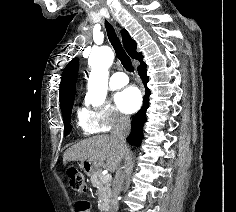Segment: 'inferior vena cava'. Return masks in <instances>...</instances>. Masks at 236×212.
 I'll return each instance as SVG.
<instances>
[{"label": "inferior vena cava", "instance_id": "602c4592", "mask_svg": "<svg viewBox=\"0 0 236 212\" xmlns=\"http://www.w3.org/2000/svg\"><path fill=\"white\" fill-rule=\"evenodd\" d=\"M130 118L128 116L120 115L113 126L111 136L117 139L122 145H125L126 137L130 133ZM124 167H120L117 172L115 179L113 181V193H112V212H115L118 209V195L125 177Z\"/></svg>", "mask_w": 236, "mask_h": 212}]
</instances>
